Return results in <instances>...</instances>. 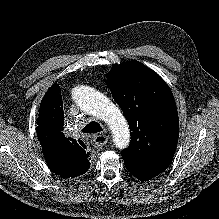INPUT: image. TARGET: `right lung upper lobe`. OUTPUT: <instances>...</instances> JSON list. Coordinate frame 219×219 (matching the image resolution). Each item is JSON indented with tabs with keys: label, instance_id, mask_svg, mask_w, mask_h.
I'll list each match as a JSON object with an SVG mask.
<instances>
[{
	"label": "right lung upper lobe",
	"instance_id": "obj_1",
	"mask_svg": "<svg viewBox=\"0 0 219 219\" xmlns=\"http://www.w3.org/2000/svg\"><path fill=\"white\" fill-rule=\"evenodd\" d=\"M37 125V136L52 172L68 178L84 174L89 169V155L84 147L63 133V102L57 84L48 89L41 101Z\"/></svg>",
	"mask_w": 219,
	"mask_h": 219
}]
</instances>
